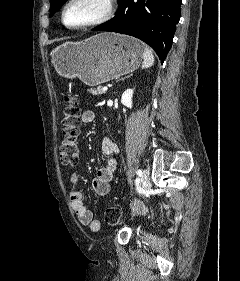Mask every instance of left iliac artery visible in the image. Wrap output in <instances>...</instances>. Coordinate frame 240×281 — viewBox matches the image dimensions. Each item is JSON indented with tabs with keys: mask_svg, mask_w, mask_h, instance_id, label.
<instances>
[{
	"mask_svg": "<svg viewBox=\"0 0 240 281\" xmlns=\"http://www.w3.org/2000/svg\"><path fill=\"white\" fill-rule=\"evenodd\" d=\"M136 173H137V175H139V176L142 175V171H141V170H137Z\"/></svg>",
	"mask_w": 240,
	"mask_h": 281,
	"instance_id": "obj_1",
	"label": "left iliac artery"
}]
</instances>
